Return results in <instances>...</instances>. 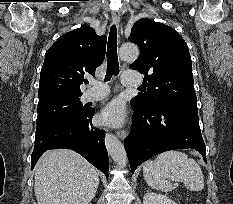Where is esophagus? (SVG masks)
I'll list each match as a JSON object with an SVG mask.
<instances>
[{"mask_svg":"<svg viewBox=\"0 0 233 204\" xmlns=\"http://www.w3.org/2000/svg\"><path fill=\"white\" fill-rule=\"evenodd\" d=\"M112 19L114 23L119 27L121 23V15L118 11L112 12ZM116 134L117 137L120 138L121 140H124L127 137V131L124 129L118 130Z\"/></svg>","mask_w":233,"mask_h":204,"instance_id":"esophagus-1","label":"esophagus"}]
</instances>
